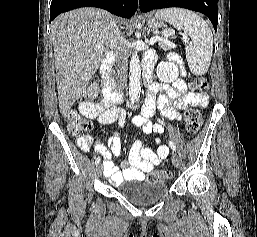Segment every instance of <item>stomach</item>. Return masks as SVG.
<instances>
[{"label":"stomach","instance_id":"obj_1","mask_svg":"<svg viewBox=\"0 0 257 237\" xmlns=\"http://www.w3.org/2000/svg\"><path fill=\"white\" fill-rule=\"evenodd\" d=\"M148 25L151 29L157 30L162 27V23L154 17L149 18Z\"/></svg>","mask_w":257,"mask_h":237}]
</instances>
